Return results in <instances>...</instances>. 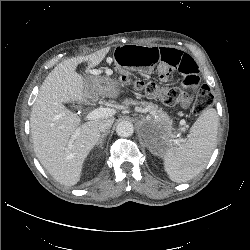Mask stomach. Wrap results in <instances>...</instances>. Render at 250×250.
I'll return each mask as SVG.
<instances>
[{
    "label": "stomach",
    "mask_w": 250,
    "mask_h": 250,
    "mask_svg": "<svg viewBox=\"0 0 250 250\" xmlns=\"http://www.w3.org/2000/svg\"><path fill=\"white\" fill-rule=\"evenodd\" d=\"M118 91L115 82L109 77L89 78L85 85L87 98L94 99L99 96L115 97Z\"/></svg>",
    "instance_id": "obj_1"
}]
</instances>
